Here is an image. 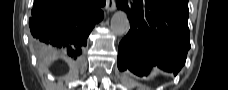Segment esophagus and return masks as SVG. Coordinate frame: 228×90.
Returning <instances> with one entry per match:
<instances>
[{
    "instance_id": "1",
    "label": "esophagus",
    "mask_w": 228,
    "mask_h": 90,
    "mask_svg": "<svg viewBox=\"0 0 228 90\" xmlns=\"http://www.w3.org/2000/svg\"><path fill=\"white\" fill-rule=\"evenodd\" d=\"M116 9L115 0H107L106 1V11L112 12Z\"/></svg>"
}]
</instances>
